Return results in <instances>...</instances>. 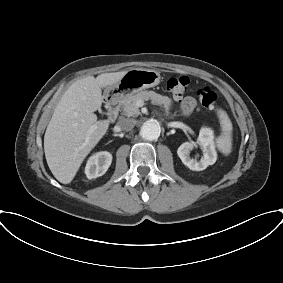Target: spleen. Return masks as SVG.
Masks as SVG:
<instances>
[{
  "label": "spleen",
  "mask_w": 283,
  "mask_h": 283,
  "mask_svg": "<svg viewBox=\"0 0 283 283\" xmlns=\"http://www.w3.org/2000/svg\"><path fill=\"white\" fill-rule=\"evenodd\" d=\"M217 115L222 132L216 139V146L224 155H229L232 151V122L227 113L222 109L217 110Z\"/></svg>",
  "instance_id": "1"
}]
</instances>
